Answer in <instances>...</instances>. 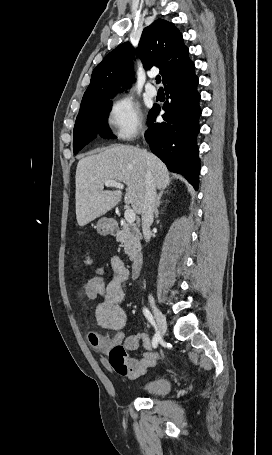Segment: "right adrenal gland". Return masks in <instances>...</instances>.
<instances>
[{"mask_svg":"<svg viewBox=\"0 0 272 455\" xmlns=\"http://www.w3.org/2000/svg\"><path fill=\"white\" fill-rule=\"evenodd\" d=\"M164 192L161 191L158 196H157V201H156V206H155V216L156 218L158 217V214H159V211H158V208L161 204V197L163 196Z\"/></svg>","mask_w":272,"mask_h":455,"instance_id":"2a0ac1e0","label":"right adrenal gland"}]
</instances>
